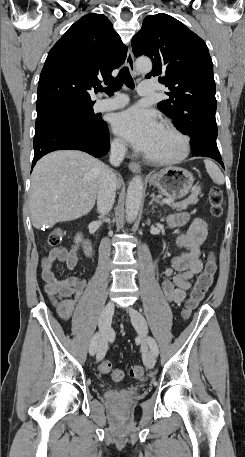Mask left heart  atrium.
<instances>
[{"label": "left heart atrium", "mask_w": 245, "mask_h": 457, "mask_svg": "<svg viewBox=\"0 0 245 457\" xmlns=\"http://www.w3.org/2000/svg\"><path fill=\"white\" fill-rule=\"evenodd\" d=\"M113 129L134 148L146 151L157 139L161 126L153 112L137 106L119 113Z\"/></svg>", "instance_id": "39dd6f15"}]
</instances>
